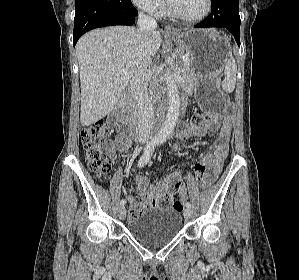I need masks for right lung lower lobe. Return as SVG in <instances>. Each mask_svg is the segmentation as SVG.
Returning a JSON list of instances; mask_svg holds the SVG:
<instances>
[{
	"mask_svg": "<svg viewBox=\"0 0 299 280\" xmlns=\"http://www.w3.org/2000/svg\"><path fill=\"white\" fill-rule=\"evenodd\" d=\"M137 10L131 0H76L73 45L87 31L110 25H133Z\"/></svg>",
	"mask_w": 299,
	"mask_h": 280,
	"instance_id": "right-lung-lower-lobe-1",
	"label": "right lung lower lobe"
}]
</instances>
